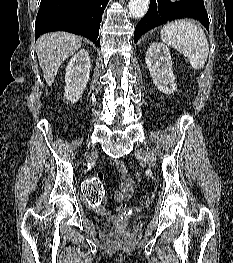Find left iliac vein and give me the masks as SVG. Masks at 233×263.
Returning <instances> with one entry per match:
<instances>
[{
  "label": "left iliac vein",
  "instance_id": "4c4485c4",
  "mask_svg": "<svg viewBox=\"0 0 233 263\" xmlns=\"http://www.w3.org/2000/svg\"><path fill=\"white\" fill-rule=\"evenodd\" d=\"M135 154H136L138 159H141L144 161L148 160L150 166H155V163H154L152 157L149 154H147L145 151H143L142 149H137Z\"/></svg>",
  "mask_w": 233,
  "mask_h": 263
}]
</instances>
